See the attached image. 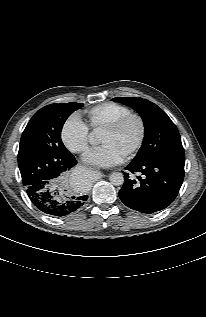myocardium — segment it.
Masks as SVG:
<instances>
[{
	"label": "myocardium",
	"instance_id": "1",
	"mask_svg": "<svg viewBox=\"0 0 206 317\" xmlns=\"http://www.w3.org/2000/svg\"><path fill=\"white\" fill-rule=\"evenodd\" d=\"M135 120L138 123L139 126V132H138V137L135 141V143L129 148V150L125 153L126 157L134 155L143 145L144 140L146 138V132H147V127H146V122L144 118L136 112H130L112 122L107 124L103 131L104 132H116L123 128L129 121Z\"/></svg>",
	"mask_w": 206,
	"mask_h": 317
}]
</instances>
